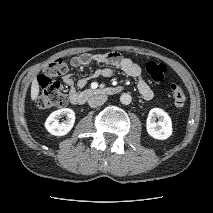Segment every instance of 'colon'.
I'll return each instance as SVG.
<instances>
[{"label": "colon", "instance_id": "obj_1", "mask_svg": "<svg viewBox=\"0 0 213 213\" xmlns=\"http://www.w3.org/2000/svg\"><path fill=\"white\" fill-rule=\"evenodd\" d=\"M67 70V63L62 59H56L48 63L38 78L40 92L36 104L41 109L61 108L67 103V94L55 77L62 75ZM146 72L156 81L164 80L167 66L164 63L148 61ZM171 95L176 107L181 108L186 102V95L177 83H171Z\"/></svg>", "mask_w": 213, "mask_h": 213}]
</instances>
